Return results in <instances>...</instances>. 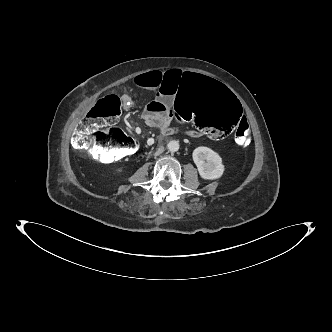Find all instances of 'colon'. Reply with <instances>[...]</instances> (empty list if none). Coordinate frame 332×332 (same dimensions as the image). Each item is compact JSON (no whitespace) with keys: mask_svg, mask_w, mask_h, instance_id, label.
<instances>
[{"mask_svg":"<svg viewBox=\"0 0 332 332\" xmlns=\"http://www.w3.org/2000/svg\"><path fill=\"white\" fill-rule=\"evenodd\" d=\"M125 106V99L117 95L98 100L78 125L73 147L87 151L102 163L117 160V152L125 154L134 150L137 141L123 130H103L118 119ZM173 109L182 125L194 126L210 140L223 141L234 135L238 146L246 147L250 143V126L246 121L241 122L240 103L220 82L206 74H188L179 81Z\"/></svg>","mask_w":332,"mask_h":332,"instance_id":"obj_1","label":"colon"}]
</instances>
